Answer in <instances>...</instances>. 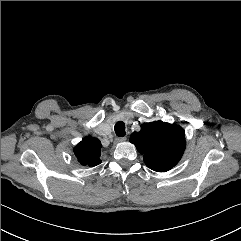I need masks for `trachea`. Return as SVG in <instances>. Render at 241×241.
Segmentation results:
<instances>
[{
	"mask_svg": "<svg viewBox=\"0 0 241 241\" xmlns=\"http://www.w3.org/2000/svg\"><path fill=\"white\" fill-rule=\"evenodd\" d=\"M115 133L117 136L119 137H123L125 136L126 132H125V124L122 121H119L115 124L114 127Z\"/></svg>",
	"mask_w": 241,
	"mask_h": 241,
	"instance_id": "trachea-1",
	"label": "trachea"
}]
</instances>
